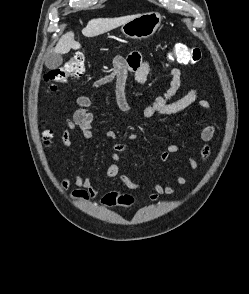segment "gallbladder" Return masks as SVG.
<instances>
[{"label":"gallbladder","mask_w":249,"mask_h":294,"mask_svg":"<svg viewBox=\"0 0 249 294\" xmlns=\"http://www.w3.org/2000/svg\"><path fill=\"white\" fill-rule=\"evenodd\" d=\"M62 62L63 58L61 54L52 53L46 58L45 65L48 69L53 70L58 68Z\"/></svg>","instance_id":"1"}]
</instances>
